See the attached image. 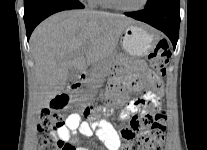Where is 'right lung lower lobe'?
<instances>
[{
	"mask_svg": "<svg viewBox=\"0 0 207 150\" xmlns=\"http://www.w3.org/2000/svg\"><path fill=\"white\" fill-rule=\"evenodd\" d=\"M84 5L78 0H34L25 5L24 21L27 39L34 28L48 16L63 10L82 9Z\"/></svg>",
	"mask_w": 207,
	"mask_h": 150,
	"instance_id": "1",
	"label": "right lung lower lobe"
}]
</instances>
